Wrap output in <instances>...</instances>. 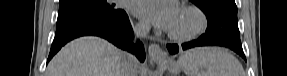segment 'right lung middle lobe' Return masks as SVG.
I'll use <instances>...</instances> for the list:
<instances>
[{"label": "right lung middle lobe", "mask_w": 287, "mask_h": 76, "mask_svg": "<svg viewBox=\"0 0 287 76\" xmlns=\"http://www.w3.org/2000/svg\"><path fill=\"white\" fill-rule=\"evenodd\" d=\"M122 14L123 10L107 0H60L56 35L82 25L113 21Z\"/></svg>", "instance_id": "obj_1"}]
</instances>
